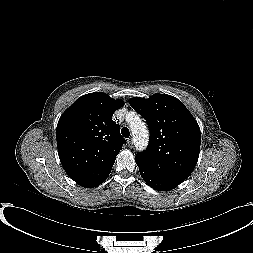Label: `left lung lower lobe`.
Listing matches in <instances>:
<instances>
[{"label": "left lung lower lobe", "instance_id": "1", "mask_svg": "<svg viewBox=\"0 0 253 253\" xmlns=\"http://www.w3.org/2000/svg\"><path fill=\"white\" fill-rule=\"evenodd\" d=\"M140 174L144 181L153 189L159 190V191H169L171 189H174L177 187V185L170 183L168 181H165L161 178H158L151 173L147 172L143 168L139 167Z\"/></svg>", "mask_w": 253, "mask_h": 253}]
</instances>
